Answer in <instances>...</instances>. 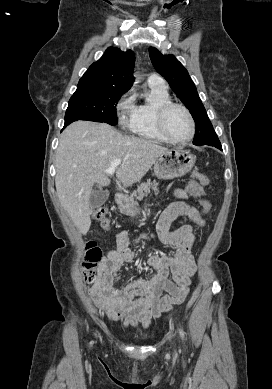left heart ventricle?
<instances>
[{"instance_id":"obj_1","label":"left heart ventricle","mask_w":272,"mask_h":389,"mask_svg":"<svg viewBox=\"0 0 272 389\" xmlns=\"http://www.w3.org/2000/svg\"><path fill=\"white\" fill-rule=\"evenodd\" d=\"M166 129L175 139H185L190 135L191 126L186 113L180 108H172L166 116Z\"/></svg>"}]
</instances>
